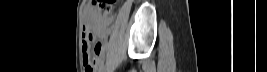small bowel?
<instances>
[{"label":"small bowel","instance_id":"c3829d8e","mask_svg":"<svg viewBox=\"0 0 267 72\" xmlns=\"http://www.w3.org/2000/svg\"><path fill=\"white\" fill-rule=\"evenodd\" d=\"M88 28L85 30L84 36H83V40H82V49L85 48V46L88 44L89 41V37H88ZM109 33V28L107 26L102 27L101 29L97 30V34L101 37V38H105ZM103 44H99V50L97 53V63L99 64L100 58L102 56L103 53ZM84 59V57H83ZM97 66V65H96ZM95 66V68H96ZM95 68L93 69V71H95ZM86 72H93L89 69H85Z\"/></svg>","mask_w":267,"mask_h":72}]
</instances>
